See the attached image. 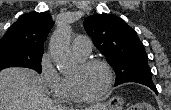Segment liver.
Instances as JSON below:
<instances>
[{
	"mask_svg": "<svg viewBox=\"0 0 171 110\" xmlns=\"http://www.w3.org/2000/svg\"><path fill=\"white\" fill-rule=\"evenodd\" d=\"M96 105L92 108L100 107ZM0 110H73L54 103L39 74L27 68H7L0 72Z\"/></svg>",
	"mask_w": 171,
	"mask_h": 110,
	"instance_id": "liver-1",
	"label": "liver"
}]
</instances>
